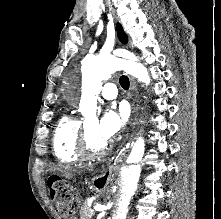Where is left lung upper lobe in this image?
I'll return each mask as SVG.
<instances>
[{
    "label": "left lung upper lobe",
    "mask_w": 221,
    "mask_h": 219,
    "mask_svg": "<svg viewBox=\"0 0 221 219\" xmlns=\"http://www.w3.org/2000/svg\"><path fill=\"white\" fill-rule=\"evenodd\" d=\"M117 32H118V37L122 43L127 42V37L126 34L124 33L122 26L118 23L117 24Z\"/></svg>",
    "instance_id": "left-lung-upper-lobe-1"
}]
</instances>
